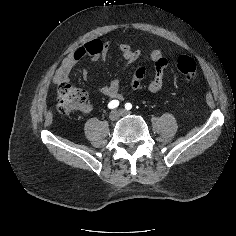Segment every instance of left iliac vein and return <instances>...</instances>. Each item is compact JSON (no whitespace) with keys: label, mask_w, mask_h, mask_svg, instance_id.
I'll use <instances>...</instances> for the list:
<instances>
[{"label":"left iliac vein","mask_w":236,"mask_h":236,"mask_svg":"<svg viewBox=\"0 0 236 236\" xmlns=\"http://www.w3.org/2000/svg\"><path fill=\"white\" fill-rule=\"evenodd\" d=\"M119 113H120L121 116H126V115H130L131 114L130 111H127V110H124V109H121L119 111Z\"/></svg>","instance_id":"left-iliac-vein-1"}]
</instances>
